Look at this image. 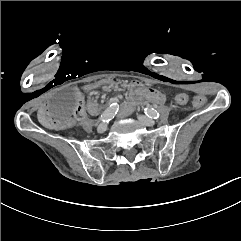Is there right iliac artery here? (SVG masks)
<instances>
[{
  "label": "right iliac artery",
  "mask_w": 241,
  "mask_h": 241,
  "mask_svg": "<svg viewBox=\"0 0 241 241\" xmlns=\"http://www.w3.org/2000/svg\"><path fill=\"white\" fill-rule=\"evenodd\" d=\"M119 106L117 103H112L109 108H107L104 113L99 117L100 121L109 122L116 113L118 112Z\"/></svg>",
  "instance_id": "right-iliac-artery-1"
}]
</instances>
